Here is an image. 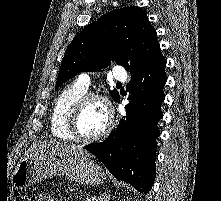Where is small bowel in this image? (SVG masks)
Segmentation results:
<instances>
[{
    "label": "small bowel",
    "mask_w": 221,
    "mask_h": 201,
    "mask_svg": "<svg viewBox=\"0 0 221 201\" xmlns=\"http://www.w3.org/2000/svg\"><path fill=\"white\" fill-rule=\"evenodd\" d=\"M38 201H55L54 198H52L50 195L48 194H42L40 196V198L38 199Z\"/></svg>",
    "instance_id": "obj_1"
}]
</instances>
